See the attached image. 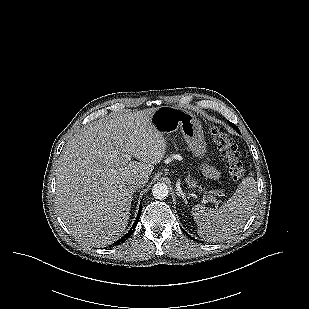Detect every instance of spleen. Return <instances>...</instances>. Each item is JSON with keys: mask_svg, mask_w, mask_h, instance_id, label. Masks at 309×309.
<instances>
[{"mask_svg": "<svg viewBox=\"0 0 309 309\" xmlns=\"http://www.w3.org/2000/svg\"><path fill=\"white\" fill-rule=\"evenodd\" d=\"M257 185L253 177L242 180L234 195L220 208L192 207L198 235L209 242L229 239L250 217L257 198Z\"/></svg>", "mask_w": 309, "mask_h": 309, "instance_id": "spleen-1", "label": "spleen"}]
</instances>
